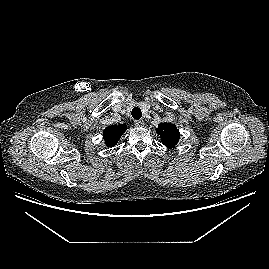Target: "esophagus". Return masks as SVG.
<instances>
[{"instance_id":"obj_1","label":"esophagus","mask_w":269,"mask_h":269,"mask_svg":"<svg viewBox=\"0 0 269 269\" xmlns=\"http://www.w3.org/2000/svg\"><path fill=\"white\" fill-rule=\"evenodd\" d=\"M135 126L137 127H143L145 125L143 120H135L134 121Z\"/></svg>"}]
</instances>
